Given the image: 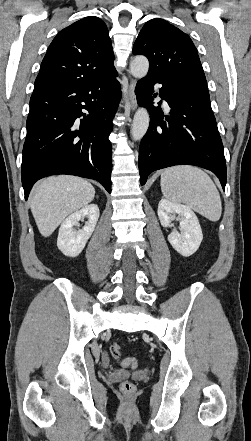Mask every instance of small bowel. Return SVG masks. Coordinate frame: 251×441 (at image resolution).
Segmentation results:
<instances>
[{
	"mask_svg": "<svg viewBox=\"0 0 251 441\" xmlns=\"http://www.w3.org/2000/svg\"><path fill=\"white\" fill-rule=\"evenodd\" d=\"M104 360H107V356L106 355H104Z\"/></svg>",
	"mask_w": 251,
	"mask_h": 441,
	"instance_id": "c3829d8e",
	"label": "small bowel"
}]
</instances>
